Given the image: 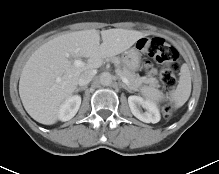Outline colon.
I'll return each instance as SVG.
<instances>
[{
  "mask_svg": "<svg viewBox=\"0 0 219 174\" xmlns=\"http://www.w3.org/2000/svg\"><path fill=\"white\" fill-rule=\"evenodd\" d=\"M138 47L162 65L160 74L163 90L166 94H171L176 85L175 73L179 67V53L177 49L159 37L141 39L138 42ZM175 111L176 107L171 103L164 107V114L167 118H171Z\"/></svg>",
  "mask_w": 219,
  "mask_h": 174,
  "instance_id": "1",
  "label": "colon"
}]
</instances>
